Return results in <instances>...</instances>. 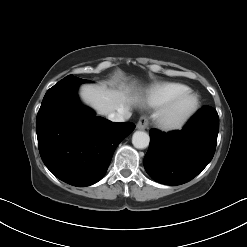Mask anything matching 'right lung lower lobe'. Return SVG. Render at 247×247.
Listing matches in <instances>:
<instances>
[{
  "instance_id": "98d812e1",
  "label": "right lung lower lobe",
  "mask_w": 247,
  "mask_h": 247,
  "mask_svg": "<svg viewBox=\"0 0 247 247\" xmlns=\"http://www.w3.org/2000/svg\"><path fill=\"white\" fill-rule=\"evenodd\" d=\"M80 78L62 79L44 96L36 132L41 158L60 180L78 187L92 185L105 174L118 144L135 128L115 123L83 106L77 97Z\"/></svg>"
}]
</instances>
